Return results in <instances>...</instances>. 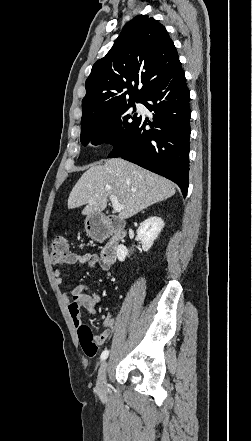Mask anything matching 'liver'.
Here are the masks:
<instances>
[{
    "label": "liver",
    "mask_w": 252,
    "mask_h": 441,
    "mask_svg": "<svg viewBox=\"0 0 252 441\" xmlns=\"http://www.w3.org/2000/svg\"><path fill=\"white\" fill-rule=\"evenodd\" d=\"M174 184L121 158L104 161L90 167L77 181L68 198V208L86 205L82 215L100 214L114 195L123 210L119 219L125 220L147 207L175 194Z\"/></svg>",
    "instance_id": "6515ba94"
}]
</instances>
